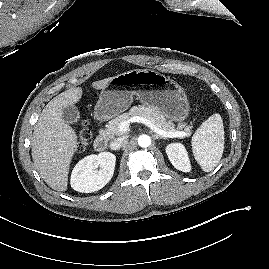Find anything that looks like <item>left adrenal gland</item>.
<instances>
[{"mask_svg": "<svg viewBox=\"0 0 269 269\" xmlns=\"http://www.w3.org/2000/svg\"><path fill=\"white\" fill-rule=\"evenodd\" d=\"M154 139H156V140H157V139H165V140H166L167 138L155 134V135H154Z\"/></svg>", "mask_w": 269, "mask_h": 269, "instance_id": "1", "label": "left adrenal gland"}]
</instances>
